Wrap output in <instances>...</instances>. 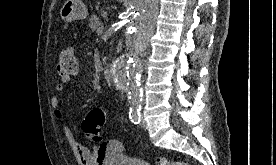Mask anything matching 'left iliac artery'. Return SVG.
<instances>
[{"label": "left iliac artery", "mask_w": 276, "mask_h": 165, "mask_svg": "<svg viewBox=\"0 0 276 165\" xmlns=\"http://www.w3.org/2000/svg\"><path fill=\"white\" fill-rule=\"evenodd\" d=\"M140 111H141V100H136V99L131 100L129 118L132 123L139 124L140 118H141Z\"/></svg>", "instance_id": "obj_1"}]
</instances>
